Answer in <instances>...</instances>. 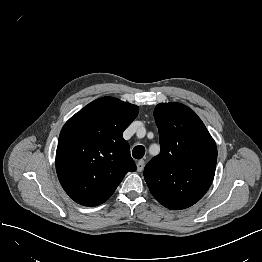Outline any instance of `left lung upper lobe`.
Listing matches in <instances>:
<instances>
[{
	"label": "left lung upper lobe",
	"instance_id": "5c2ea615",
	"mask_svg": "<svg viewBox=\"0 0 262 262\" xmlns=\"http://www.w3.org/2000/svg\"><path fill=\"white\" fill-rule=\"evenodd\" d=\"M160 154L144 168V179L163 206H192L209 189L216 169L217 147L201 119L180 103H160L154 110Z\"/></svg>",
	"mask_w": 262,
	"mask_h": 262
}]
</instances>
